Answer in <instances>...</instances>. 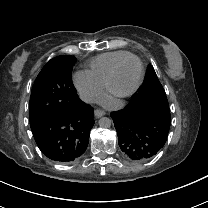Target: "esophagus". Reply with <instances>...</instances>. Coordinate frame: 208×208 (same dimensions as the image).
Segmentation results:
<instances>
[{
  "label": "esophagus",
  "instance_id": "1",
  "mask_svg": "<svg viewBox=\"0 0 208 208\" xmlns=\"http://www.w3.org/2000/svg\"><path fill=\"white\" fill-rule=\"evenodd\" d=\"M94 115H95V117L99 118V117L104 116V115H105V112L102 111V110L96 109V110L94 111Z\"/></svg>",
  "mask_w": 208,
  "mask_h": 208
}]
</instances>
